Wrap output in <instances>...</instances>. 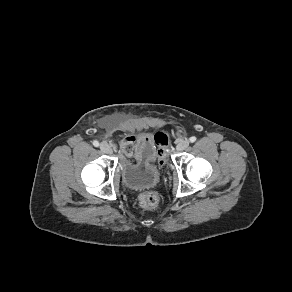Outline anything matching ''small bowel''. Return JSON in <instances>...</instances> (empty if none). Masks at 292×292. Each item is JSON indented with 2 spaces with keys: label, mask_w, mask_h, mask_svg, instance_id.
<instances>
[{
  "label": "small bowel",
  "mask_w": 292,
  "mask_h": 292,
  "mask_svg": "<svg viewBox=\"0 0 292 292\" xmlns=\"http://www.w3.org/2000/svg\"><path fill=\"white\" fill-rule=\"evenodd\" d=\"M155 136L142 134L126 137L121 142V152L129 160L152 163L157 157Z\"/></svg>",
  "instance_id": "c3829d8e"
}]
</instances>
